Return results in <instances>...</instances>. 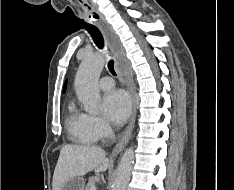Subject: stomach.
<instances>
[{"label": "stomach", "mask_w": 234, "mask_h": 190, "mask_svg": "<svg viewBox=\"0 0 234 190\" xmlns=\"http://www.w3.org/2000/svg\"><path fill=\"white\" fill-rule=\"evenodd\" d=\"M85 181L81 176L68 178L60 188V190H85Z\"/></svg>", "instance_id": "1"}]
</instances>
